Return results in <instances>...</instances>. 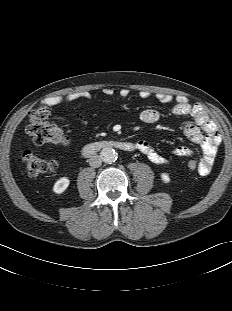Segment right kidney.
Returning <instances> with one entry per match:
<instances>
[{"mask_svg": "<svg viewBox=\"0 0 232 311\" xmlns=\"http://www.w3.org/2000/svg\"><path fill=\"white\" fill-rule=\"evenodd\" d=\"M69 184H70V180L67 177H62L55 182L53 186V191L56 194H61L67 189Z\"/></svg>", "mask_w": 232, "mask_h": 311, "instance_id": "1", "label": "right kidney"}]
</instances>
